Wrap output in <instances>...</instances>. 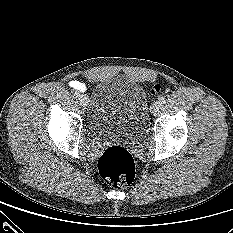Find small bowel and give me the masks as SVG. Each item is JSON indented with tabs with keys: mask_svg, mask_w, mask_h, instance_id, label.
<instances>
[{
	"mask_svg": "<svg viewBox=\"0 0 233 233\" xmlns=\"http://www.w3.org/2000/svg\"><path fill=\"white\" fill-rule=\"evenodd\" d=\"M70 85L74 88V89H77L81 92H84L86 90V86L84 83L78 81V80H72L70 82Z\"/></svg>",
	"mask_w": 233,
	"mask_h": 233,
	"instance_id": "small-bowel-1",
	"label": "small bowel"
}]
</instances>
